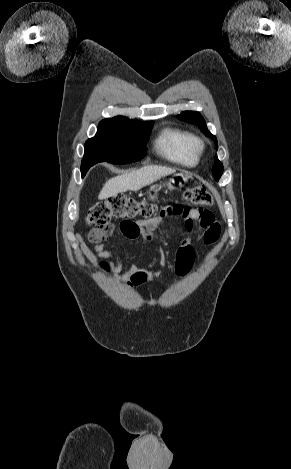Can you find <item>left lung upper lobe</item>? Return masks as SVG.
I'll list each match as a JSON object with an SVG mask.
<instances>
[{
  "instance_id": "obj_1",
  "label": "left lung upper lobe",
  "mask_w": 291,
  "mask_h": 469,
  "mask_svg": "<svg viewBox=\"0 0 291 469\" xmlns=\"http://www.w3.org/2000/svg\"><path fill=\"white\" fill-rule=\"evenodd\" d=\"M178 119L186 121L188 123L196 124L206 136L210 137L215 142L216 149L218 148L216 137L212 135L207 129L206 122L200 113L193 111H184L180 115H178ZM214 163L215 164L212 168V173L215 177V180L218 181L223 173V164L218 160L217 156L215 157Z\"/></svg>"
}]
</instances>
